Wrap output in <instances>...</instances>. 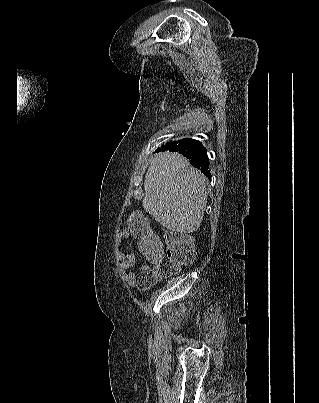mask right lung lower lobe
Masks as SVG:
<instances>
[{"label": "right lung lower lobe", "instance_id": "98d812e1", "mask_svg": "<svg viewBox=\"0 0 319 403\" xmlns=\"http://www.w3.org/2000/svg\"><path fill=\"white\" fill-rule=\"evenodd\" d=\"M160 150V148L158 149ZM162 150H169L171 152H179L187 157L194 167L200 169L206 176H211L209 171L208 156L206 149L198 140L185 138L182 140L167 143L162 146Z\"/></svg>", "mask_w": 319, "mask_h": 403}]
</instances>
